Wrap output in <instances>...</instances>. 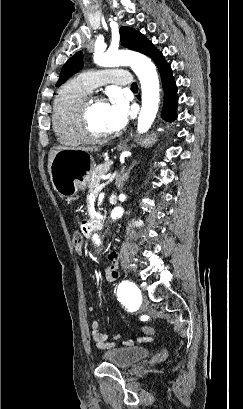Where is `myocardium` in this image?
I'll use <instances>...</instances> for the list:
<instances>
[{"instance_id":"myocardium-1","label":"myocardium","mask_w":243,"mask_h":409,"mask_svg":"<svg viewBox=\"0 0 243 409\" xmlns=\"http://www.w3.org/2000/svg\"><path fill=\"white\" fill-rule=\"evenodd\" d=\"M93 101H104V98L101 95L93 93L85 95L77 106V123L85 141L99 142L105 140L108 134H96L90 129L88 112Z\"/></svg>"}]
</instances>
